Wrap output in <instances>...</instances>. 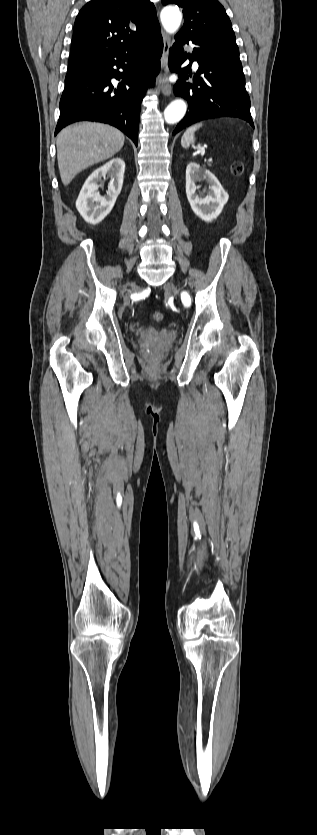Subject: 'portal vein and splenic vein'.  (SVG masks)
Here are the masks:
<instances>
[{"label": "portal vein and splenic vein", "instance_id": "18ae733b", "mask_svg": "<svg viewBox=\"0 0 317 835\" xmlns=\"http://www.w3.org/2000/svg\"><path fill=\"white\" fill-rule=\"evenodd\" d=\"M207 161H208L209 163H212V162H213V158H212V157H209V158H207Z\"/></svg>", "mask_w": 317, "mask_h": 835}]
</instances>
